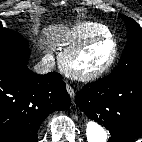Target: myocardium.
<instances>
[{
  "label": "myocardium",
  "mask_w": 142,
  "mask_h": 142,
  "mask_svg": "<svg viewBox=\"0 0 142 142\" xmlns=\"http://www.w3.org/2000/svg\"><path fill=\"white\" fill-rule=\"evenodd\" d=\"M101 41H110L113 44V51L110 58L102 66L93 70L85 71L75 67V60L80 57L92 45ZM118 52V43L111 34L94 36L82 41L81 43L64 53L61 58V65L63 70L75 79L82 81H90L101 77L111 69L118 57Z\"/></svg>",
  "instance_id": "myocardium-1"
}]
</instances>
